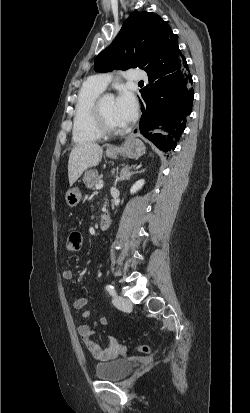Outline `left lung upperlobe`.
<instances>
[{
	"label": "left lung upper lobe",
	"instance_id": "5c2ea615",
	"mask_svg": "<svg viewBox=\"0 0 250 413\" xmlns=\"http://www.w3.org/2000/svg\"><path fill=\"white\" fill-rule=\"evenodd\" d=\"M177 39L178 36L160 16L146 11L134 12L110 46L95 58V70L109 72L140 67L148 71L153 66L158 45Z\"/></svg>",
	"mask_w": 250,
	"mask_h": 413
}]
</instances>
